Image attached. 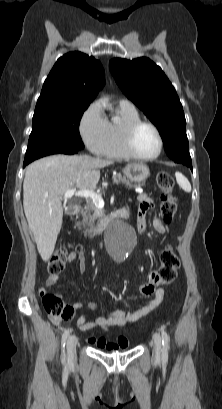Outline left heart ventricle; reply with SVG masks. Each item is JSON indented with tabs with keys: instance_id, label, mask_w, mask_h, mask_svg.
Listing matches in <instances>:
<instances>
[{
	"instance_id": "b2bd125f",
	"label": "left heart ventricle",
	"mask_w": 222,
	"mask_h": 409,
	"mask_svg": "<svg viewBox=\"0 0 222 409\" xmlns=\"http://www.w3.org/2000/svg\"><path fill=\"white\" fill-rule=\"evenodd\" d=\"M133 143L135 150L143 156L154 155L159 147L157 134L149 126H142L137 130Z\"/></svg>"
}]
</instances>
